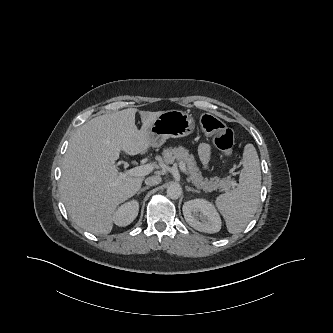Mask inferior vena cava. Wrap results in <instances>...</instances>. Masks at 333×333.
<instances>
[{
    "mask_svg": "<svg viewBox=\"0 0 333 333\" xmlns=\"http://www.w3.org/2000/svg\"><path fill=\"white\" fill-rule=\"evenodd\" d=\"M161 182L160 176H151L145 179V184L148 186L158 185Z\"/></svg>",
    "mask_w": 333,
    "mask_h": 333,
    "instance_id": "1",
    "label": "inferior vena cava"
}]
</instances>
